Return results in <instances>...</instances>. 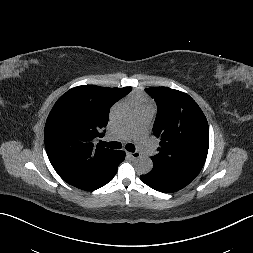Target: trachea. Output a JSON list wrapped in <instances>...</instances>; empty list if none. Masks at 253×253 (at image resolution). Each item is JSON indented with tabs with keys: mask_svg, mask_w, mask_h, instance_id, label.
<instances>
[{
	"mask_svg": "<svg viewBox=\"0 0 253 253\" xmlns=\"http://www.w3.org/2000/svg\"><path fill=\"white\" fill-rule=\"evenodd\" d=\"M101 144L105 147L112 148V149H120L122 148V144L120 142H101ZM126 150L129 152H135V146L131 143H128L125 146Z\"/></svg>",
	"mask_w": 253,
	"mask_h": 253,
	"instance_id": "3493384b",
	"label": "trachea"
}]
</instances>
